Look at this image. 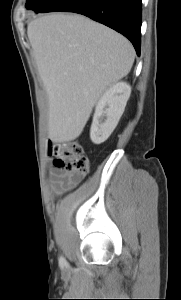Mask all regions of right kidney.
<instances>
[{
	"label": "right kidney",
	"instance_id": "obj_1",
	"mask_svg": "<svg viewBox=\"0 0 181 300\" xmlns=\"http://www.w3.org/2000/svg\"><path fill=\"white\" fill-rule=\"evenodd\" d=\"M131 94L128 83L120 81L110 86L98 101L90 129L94 144L105 142L116 128Z\"/></svg>",
	"mask_w": 181,
	"mask_h": 300
}]
</instances>
